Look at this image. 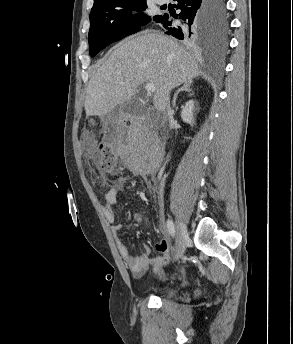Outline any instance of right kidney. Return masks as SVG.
<instances>
[{
	"mask_svg": "<svg viewBox=\"0 0 293 344\" xmlns=\"http://www.w3.org/2000/svg\"><path fill=\"white\" fill-rule=\"evenodd\" d=\"M194 101L193 100H189L185 106H183V109L181 111V118L184 122L190 124L191 126H193V124H195L194 121Z\"/></svg>",
	"mask_w": 293,
	"mask_h": 344,
	"instance_id": "obj_1",
	"label": "right kidney"
}]
</instances>
